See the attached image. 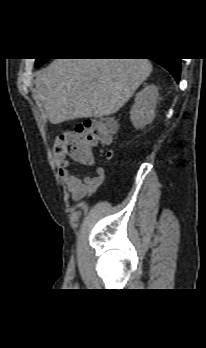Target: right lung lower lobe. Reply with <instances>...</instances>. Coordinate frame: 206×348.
<instances>
[{
  "label": "right lung lower lobe",
  "instance_id": "98d812e1",
  "mask_svg": "<svg viewBox=\"0 0 206 348\" xmlns=\"http://www.w3.org/2000/svg\"><path fill=\"white\" fill-rule=\"evenodd\" d=\"M154 61L160 64L161 66H163L165 69H167L175 78L176 82L177 83L179 82L180 73H181L180 59L166 58V59H158Z\"/></svg>",
  "mask_w": 206,
  "mask_h": 348
}]
</instances>
